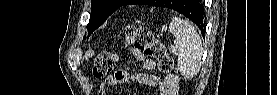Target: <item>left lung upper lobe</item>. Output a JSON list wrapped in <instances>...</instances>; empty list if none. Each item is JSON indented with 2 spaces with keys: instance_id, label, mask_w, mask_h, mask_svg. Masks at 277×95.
I'll return each instance as SVG.
<instances>
[{
  "instance_id": "obj_1",
  "label": "left lung upper lobe",
  "mask_w": 277,
  "mask_h": 95,
  "mask_svg": "<svg viewBox=\"0 0 277 95\" xmlns=\"http://www.w3.org/2000/svg\"><path fill=\"white\" fill-rule=\"evenodd\" d=\"M132 0H92L91 1V15L87 25L88 37L101 26L105 20L118 8L128 5ZM176 0H172L175 2ZM151 6H161V2L152 0ZM171 5V3H169Z\"/></svg>"
}]
</instances>
